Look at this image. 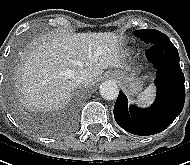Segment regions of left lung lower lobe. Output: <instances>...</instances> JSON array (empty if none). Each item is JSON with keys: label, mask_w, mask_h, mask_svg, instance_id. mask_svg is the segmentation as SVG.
I'll list each match as a JSON object with an SVG mask.
<instances>
[{"label": "left lung lower lobe", "mask_w": 190, "mask_h": 165, "mask_svg": "<svg viewBox=\"0 0 190 165\" xmlns=\"http://www.w3.org/2000/svg\"><path fill=\"white\" fill-rule=\"evenodd\" d=\"M146 56L157 70L155 102L147 109L128 107L127 97L120 91L114 106V117L119 126L141 136L165 130L181 113L185 102L184 74L178 51L170 39L151 45Z\"/></svg>", "instance_id": "obj_1"}]
</instances>
